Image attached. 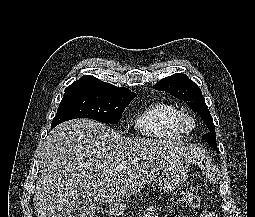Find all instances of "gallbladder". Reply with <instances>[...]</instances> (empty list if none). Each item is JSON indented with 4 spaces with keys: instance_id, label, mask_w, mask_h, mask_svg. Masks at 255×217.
Here are the masks:
<instances>
[{
    "instance_id": "gallbladder-1",
    "label": "gallbladder",
    "mask_w": 255,
    "mask_h": 217,
    "mask_svg": "<svg viewBox=\"0 0 255 217\" xmlns=\"http://www.w3.org/2000/svg\"><path fill=\"white\" fill-rule=\"evenodd\" d=\"M96 205L91 201L80 200L71 211L70 217H93Z\"/></svg>"
}]
</instances>
